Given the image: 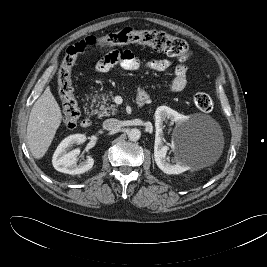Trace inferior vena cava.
Masks as SVG:
<instances>
[{
  "mask_svg": "<svg viewBox=\"0 0 267 267\" xmlns=\"http://www.w3.org/2000/svg\"><path fill=\"white\" fill-rule=\"evenodd\" d=\"M120 127H121L120 121L114 118L106 119L103 122V128L108 131L116 130Z\"/></svg>",
  "mask_w": 267,
  "mask_h": 267,
  "instance_id": "602c4592",
  "label": "inferior vena cava"
}]
</instances>
